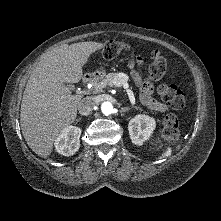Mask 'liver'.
I'll list each match as a JSON object with an SVG mask.
<instances>
[{
    "mask_svg": "<svg viewBox=\"0 0 221 221\" xmlns=\"http://www.w3.org/2000/svg\"><path fill=\"white\" fill-rule=\"evenodd\" d=\"M105 46L87 41L61 45L43 54L25 87L20 110L22 134L40 157L53 151V143L77 116L81 95H72L64 83H77L89 57Z\"/></svg>",
    "mask_w": 221,
    "mask_h": 221,
    "instance_id": "liver-1",
    "label": "liver"
}]
</instances>
